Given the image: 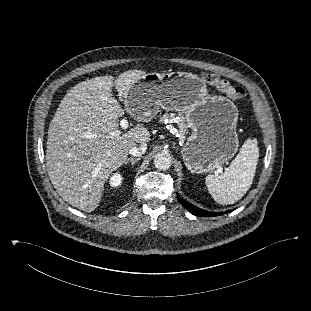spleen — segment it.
Wrapping results in <instances>:
<instances>
[{
  "label": "spleen",
  "instance_id": "spleen-1",
  "mask_svg": "<svg viewBox=\"0 0 311 311\" xmlns=\"http://www.w3.org/2000/svg\"><path fill=\"white\" fill-rule=\"evenodd\" d=\"M258 159L257 141L249 138L224 173L206 177V186L214 200L222 205L234 204L240 200L253 182Z\"/></svg>",
  "mask_w": 311,
  "mask_h": 311
}]
</instances>
